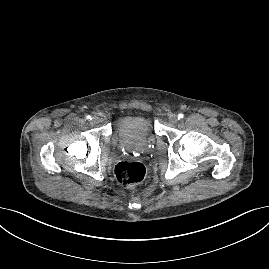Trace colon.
<instances>
[{"instance_id":"5ec220e1","label":"colon","mask_w":269,"mask_h":269,"mask_svg":"<svg viewBox=\"0 0 269 269\" xmlns=\"http://www.w3.org/2000/svg\"><path fill=\"white\" fill-rule=\"evenodd\" d=\"M114 175L119 184L133 187L145 176V167L138 161H121L114 169Z\"/></svg>"}]
</instances>
